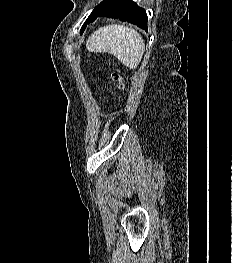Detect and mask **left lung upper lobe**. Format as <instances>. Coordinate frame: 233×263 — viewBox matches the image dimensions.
Segmentation results:
<instances>
[{
  "label": "left lung upper lobe",
  "mask_w": 233,
  "mask_h": 263,
  "mask_svg": "<svg viewBox=\"0 0 233 263\" xmlns=\"http://www.w3.org/2000/svg\"><path fill=\"white\" fill-rule=\"evenodd\" d=\"M115 2H116V0H104L98 6L95 7V9L92 11V13L89 15V17H91L92 15H94L98 12L104 11L108 6L114 4ZM89 17L87 18V20L83 24L81 31H83L85 29L86 25L88 24Z\"/></svg>",
  "instance_id": "left-lung-upper-lobe-1"
}]
</instances>
